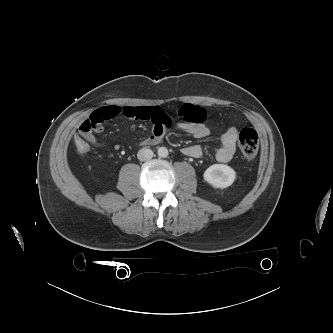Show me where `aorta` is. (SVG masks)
<instances>
[{
    "instance_id": "obj_1",
    "label": "aorta",
    "mask_w": 333,
    "mask_h": 333,
    "mask_svg": "<svg viewBox=\"0 0 333 333\" xmlns=\"http://www.w3.org/2000/svg\"><path fill=\"white\" fill-rule=\"evenodd\" d=\"M157 153L159 157L166 158L168 156V149L166 147H160Z\"/></svg>"
}]
</instances>
